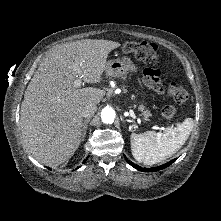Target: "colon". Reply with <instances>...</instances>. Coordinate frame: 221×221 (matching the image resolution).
I'll use <instances>...</instances> for the list:
<instances>
[{
	"label": "colon",
	"mask_w": 221,
	"mask_h": 221,
	"mask_svg": "<svg viewBox=\"0 0 221 221\" xmlns=\"http://www.w3.org/2000/svg\"><path fill=\"white\" fill-rule=\"evenodd\" d=\"M123 53L133 54L139 60L155 65L161 58L157 46L148 42L128 41L123 45ZM160 71L153 67H148L144 70L143 78L145 83L155 89L159 93L166 92L177 104H183L188 99V93L177 82H169L167 87L161 82ZM176 115V109L173 105H167L162 109V116L166 120H172Z\"/></svg>",
	"instance_id": "1"
}]
</instances>
